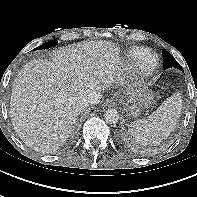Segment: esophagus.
Wrapping results in <instances>:
<instances>
[{
  "label": "esophagus",
  "instance_id": "obj_1",
  "mask_svg": "<svg viewBox=\"0 0 197 197\" xmlns=\"http://www.w3.org/2000/svg\"><path fill=\"white\" fill-rule=\"evenodd\" d=\"M115 104H116V101L113 98H108L105 101V106H114Z\"/></svg>",
  "mask_w": 197,
  "mask_h": 197
}]
</instances>
